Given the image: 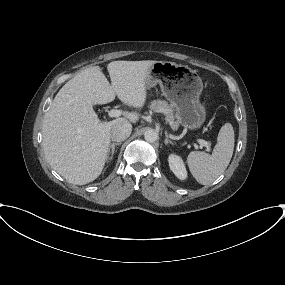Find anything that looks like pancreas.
<instances>
[{
  "label": "pancreas",
  "instance_id": "cf45deb5",
  "mask_svg": "<svg viewBox=\"0 0 285 285\" xmlns=\"http://www.w3.org/2000/svg\"><path fill=\"white\" fill-rule=\"evenodd\" d=\"M150 110L154 112H160L165 115V120L169 122L171 128L176 130L178 128V123L175 121V116L173 114V106L169 105L165 100H154L149 105Z\"/></svg>",
  "mask_w": 285,
  "mask_h": 285
}]
</instances>
